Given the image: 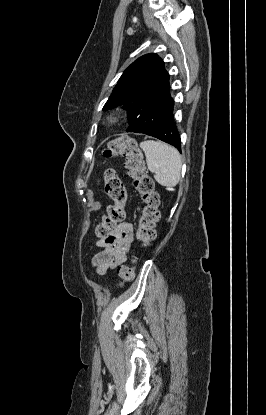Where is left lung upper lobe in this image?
I'll use <instances>...</instances> for the list:
<instances>
[{"mask_svg": "<svg viewBox=\"0 0 266 415\" xmlns=\"http://www.w3.org/2000/svg\"><path fill=\"white\" fill-rule=\"evenodd\" d=\"M119 105L128 111L127 132H147L172 112L169 74L157 54L141 56L123 72L103 110Z\"/></svg>", "mask_w": 266, "mask_h": 415, "instance_id": "1", "label": "left lung upper lobe"}]
</instances>
